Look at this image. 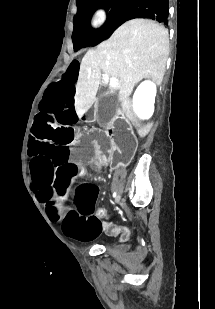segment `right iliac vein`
<instances>
[{
	"mask_svg": "<svg viewBox=\"0 0 215 309\" xmlns=\"http://www.w3.org/2000/svg\"><path fill=\"white\" fill-rule=\"evenodd\" d=\"M120 199H121V195H118V196L116 197V201H120Z\"/></svg>",
	"mask_w": 215,
	"mask_h": 309,
	"instance_id": "1",
	"label": "right iliac vein"
}]
</instances>
